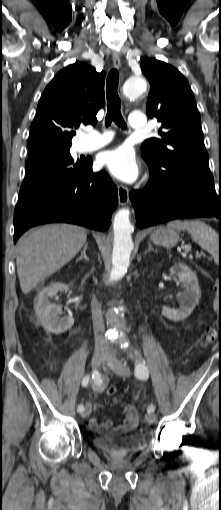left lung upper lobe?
I'll use <instances>...</instances> for the list:
<instances>
[{"instance_id": "5c2ea615", "label": "left lung upper lobe", "mask_w": 221, "mask_h": 510, "mask_svg": "<svg viewBox=\"0 0 221 510\" xmlns=\"http://www.w3.org/2000/svg\"><path fill=\"white\" fill-rule=\"evenodd\" d=\"M141 69L151 86L147 113L162 123L159 137L141 146L154 178L162 187H214L200 113L187 80L176 68L155 58L144 59Z\"/></svg>"}]
</instances>
